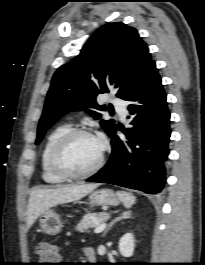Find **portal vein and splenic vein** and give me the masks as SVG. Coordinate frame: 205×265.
I'll return each mask as SVG.
<instances>
[{
	"label": "portal vein and splenic vein",
	"instance_id": "18ae733b",
	"mask_svg": "<svg viewBox=\"0 0 205 265\" xmlns=\"http://www.w3.org/2000/svg\"><path fill=\"white\" fill-rule=\"evenodd\" d=\"M106 227V223H102V224H98L95 229H94V233H100L102 232Z\"/></svg>",
	"mask_w": 205,
	"mask_h": 265
}]
</instances>
